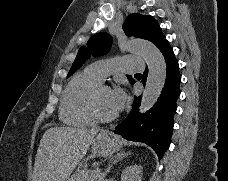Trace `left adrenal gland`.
I'll return each mask as SVG.
<instances>
[{
  "mask_svg": "<svg viewBox=\"0 0 228 181\" xmlns=\"http://www.w3.org/2000/svg\"><path fill=\"white\" fill-rule=\"evenodd\" d=\"M124 157H128V155H126V153H117V155H115V157H112L111 165H108V169H106L105 175H108V173H110L113 165H116V163H119V161H122V159H124Z\"/></svg>",
  "mask_w": 228,
  "mask_h": 181,
  "instance_id": "1",
  "label": "left adrenal gland"
}]
</instances>
